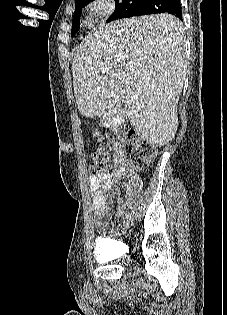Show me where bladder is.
<instances>
[{
	"mask_svg": "<svg viewBox=\"0 0 227 315\" xmlns=\"http://www.w3.org/2000/svg\"><path fill=\"white\" fill-rule=\"evenodd\" d=\"M117 245L115 240L107 241L105 238H101L95 242L94 245V258L100 262H107L114 258L113 252L108 249Z\"/></svg>",
	"mask_w": 227,
	"mask_h": 315,
	"instance_id": "obj_1",
	"label": "bladder"
}]
</instances>
